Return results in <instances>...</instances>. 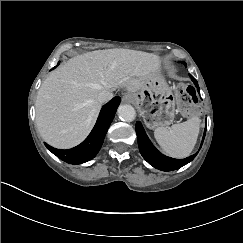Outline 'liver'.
Segmentation results:
<instances>
[{
	"mask_svg": "<svg viewBox=\"0 0 243 243\" xmlns=\"http://www.w3.org/2000/svg\"><path fill=\"white\" fill-rule=\"evenodd\" d=\"M157 57L127 49L99 50L70 60L42 83L35 103L43 139L57 148L80 143L93 127L102 90H144L157 76Z\"/></svg>",
	"mask_w": 243,
	"mask_h": 243,
	"instance_id": "6515ba94",
	"label": "liver"
}]
</instances>
